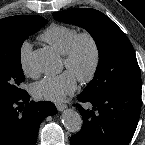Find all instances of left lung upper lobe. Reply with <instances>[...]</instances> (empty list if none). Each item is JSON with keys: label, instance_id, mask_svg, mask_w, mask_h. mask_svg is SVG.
Here are the masks:
<instances>
[{"label": "left lung upper lobe", "instance_id": "obj_1", "mask_svg": "<svg viewBox=\"0 0 145 145\" xmlns=\"http://www.w3.org/2000/svg\"><path fill=\"white\" fill-rule=\"evenodd\" d=\"M53 17L86 29L96 42L99 63L84 93L103 95L119 89L141 87L140 68L132 44L109 17L89 8L54 12Z\"/></svg>", "mask_w": 145, "mask_h": 145}]
</instances>
